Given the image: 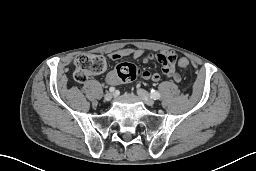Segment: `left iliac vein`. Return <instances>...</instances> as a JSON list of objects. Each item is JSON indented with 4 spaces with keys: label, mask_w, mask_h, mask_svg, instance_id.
Instances as JSON below:
<instances>
[{
    "label": "left iliac vein",
    "mask_w": 256,
    "mask_h": 171,
    "mask_svg": "<svg viewBox=\"0 0 256 171\" xmlns=\"http://www.w3.org/2000/svg\"><path fill=\"white\" fill-rule=\"evenodd\" d=\"M138 96L141 98V100L148 106H154L155 101L154 99L148 94L147 91L144 89H138L137 90Z\"/></svg>",
    "instance_id": "left-iliac-vein-1"
}]
</instances>
